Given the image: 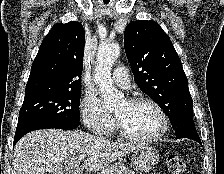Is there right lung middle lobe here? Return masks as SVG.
Wrapping results in <instances>:
<instances>
[{"label": "right lung middle lobe", "mask_w": 224, "mask_h": 174, "mask_svg": "<svg viewBox=\"0 0 224 174\" xmlns=\"http://www.w3.org/2000/svg\"><path fill=\"white\" fill-rule=\"evenodd\" d=\"M81 89L47 90L25 94L18 125L77 123L80 120Z\"/></svg>", "instance_id": "1"}]
</instances>
